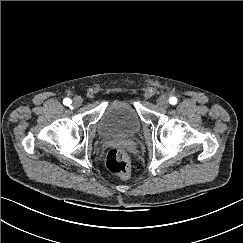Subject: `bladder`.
I'll return each mask as SVG.
<instances>
[{"mask_svg":"<svg viewBox=\"0 0 243 243\" xmlns=\"http://www.w3.org/2000/svg\"><path fill=\"white\" fill-rule=\"evenodd\" d=\"M141 119L128 100H112L105 106L97 123L103 137L130 139L141 131Z\"/></svg>","mask_w":243,"mask_h":243,"instance_id":"31cf9c89","label":"bladder"}]
</instances>
